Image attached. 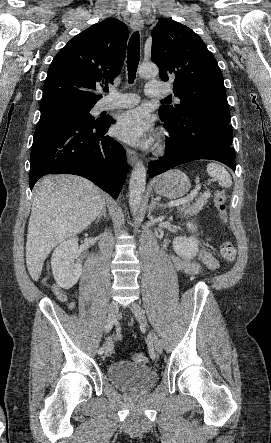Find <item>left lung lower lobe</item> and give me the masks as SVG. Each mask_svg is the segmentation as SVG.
Instances as JSON below:
<instances>
[{"label":"left lung lower lobe","mask_w":271,"mask_h":443,"mask_svg":"<svg viewBox=\"0 0 271 443\" xmlns=\"http://www.w3.org/2000/svg\"><path fill=\"white\" fill-rule=\"evenodd\" d=\"M158 112L170 137L166 138V154L148 164L150 178L199 159L216 160L235 170L236 155L232 147L228 107L206 103L194 113L176 120H169L167 114Z\"/></svg>","instance_id":"0a47b994"}]
</instances>
